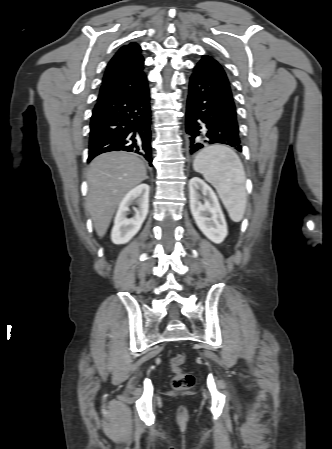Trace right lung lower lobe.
<instances>
[{
  "mask_svg": "<svg viewBox=\"0 0 332 449\" xmlns=\"http://www.w3.org/2000/svg\"><path fill=\"white\" fill-rule=\"evenodd\" d=\"M148 87L123 99L97 102L90 124L88 162L101 153L127 151L152 166L151 111Z\"/></svg>",
  "mask_w": 332,
  "mask_h": 449,
  "instance_id": "1",
  "label": "right lung lower lobe"
}]
</instances>
